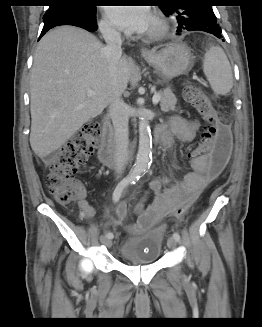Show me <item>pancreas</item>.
I'll return each instance as SVG.
<instances>
[{"instance_id": "pancreas-1", "label": "pancreas", "mask_w": 262, "mask_h": 327, "mask_svg": "<svg viewBox=\"0 0 262 327\" xmlns=\"http://www.w3.org/2000/svg\"><path fill=\"white\" fill-rule=\"evenodd\" d=\"M160 95V106L163 112L175 111L177 98L171 92V90L166 89L159 93Z\"/></svg>"}]
</instances>
